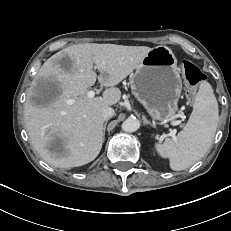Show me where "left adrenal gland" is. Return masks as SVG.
Returning <instances> with one entry per match:
<instances>
[{"label":"left adrenal gland","mask_w":231,"mask_h":231,"mask_svg":"<svg viewBox=\"0 0 231 231\" xmlns=\"http://www.w3.org/2000/svg\"><path fill=\"white\" fill-rule=\"evenodd\" d=\"M143 119H144V123H145V124H149L150 126L154 127V125L151 124V122L148 121V120L146 119V117H143Z\"/></svg>","instance_id":"1"}]
</instances>
